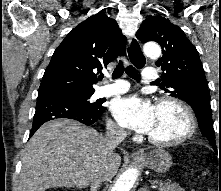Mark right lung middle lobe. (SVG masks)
I'll list each match as a JSON object with an SVG mask.
<instances>
[{"mask_svg": "<svg viewBox=\"0 0 221 191\" xmlns=\"http://www.w3.org/2000/svg\"><path fill=\"white\" fill-rule=\"evenodd\" d=\"M71 93L82 106H84L88 111H95L102 107L100 102L90 103L88 99H90L91 95L94 91H67Z\"/></svg>", "mask_w": 221, "mask_h": 191, "instance_id": "right-lung-middle-lobe-1", "label": "right lung middle lobe"}]
</instances>
